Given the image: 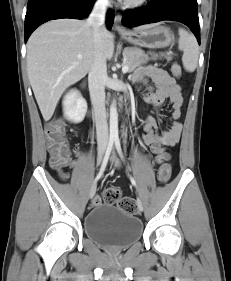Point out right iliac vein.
Listing matches in <instances>:
<instances>
[{
	"label": "right iliac vein",
	"instance_id": "1",
	"mask_svg": "<svg viewBox=\"0 0 231 281\" xmlns=\"http://www.w3.org/2000/svg\"><path fill=\"white\" fill-rule=\"evenodd\" d=\"M104 152H105V148H104V147H100V148L98 149V162L101 161ZM95 193H96V183H94V184L91 186L90 191H89V197H90V198H93L94 195H95Z\"/></svg>",
	"mask_w": 231,
	"mask_h": 281
}]
</instances>
